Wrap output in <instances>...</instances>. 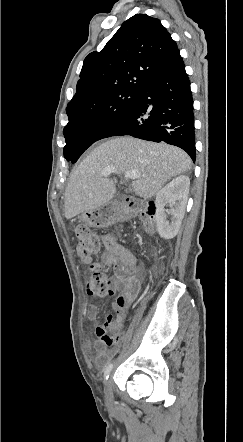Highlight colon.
<instances>
[{
  "label": "colon",
  "instance_id": "obj_1",
  "mask_svg": "<svg viewBox=\"0 0 243 442\" xmlns=\"http://www.w3.org/2000/svg\"><path fill=\"white\" fill-rule=\"evenodd\" d=\"M137 212L142 218L153 221L155 205L138 203ZM73 231L77 239V254L83 263L89 264L86 277L87 292L90 295L96 296L112 295L114 292L110 286L106 272L100 265L91 263V257L95 255L100 248L99 236L84 223L75 225Z\"/></svg>",
  "mask_w": 243,
  "mask_h": 442
}]
</instances>
